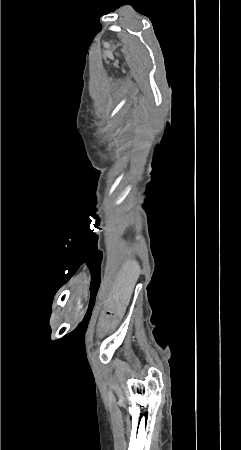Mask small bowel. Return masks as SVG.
<instances>
[{"label":"small bowel","mask_w":241,"mask_h":450,"mask_svg":"<svg viewBox=\"0 0 241 450\" xmlns=\"http://www.w3.org/2000/svg\"><path fill=\"white\" fill-rule=\"evenodd\" d=\"M125 303L120 300H104L102 302L101 310H96L95 316L96 319H126L127 312L123 310ZM117 324L111 320L109 321H101L99 326L101 328H113ZM102 334L105 332L106 334L109 332L107 329L104 331L103 329L100 331Z\"/></svg>","instance_id":"c3829d8e"}]
</instances>
